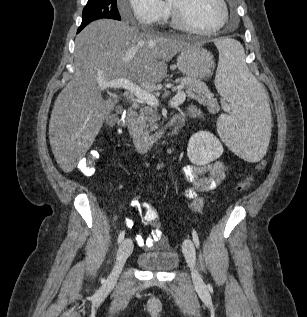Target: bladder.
<instances>
[{"mask_svg":"<svg viewBox=\"0 0 307 317\" xmlns=\"http://www.w3.org/2000/svg\"><path fill=\"white\" fill-rule=\"evenodd\" d=\"M136 264L148 271H171L179 265V256L175 251L146 252L137 256Z\"/></svg>","mask_w":307,"mask_h":317,"instance_id":"31cf9c89","label":"bladder"}]
</instances>
